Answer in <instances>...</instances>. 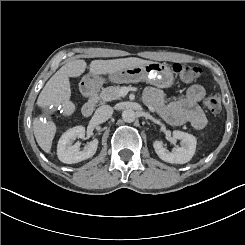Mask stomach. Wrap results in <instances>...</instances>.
<instances>
[{
  "label": "stomach",
  "mask_w": 245,
  "mask_h": 245,
  "mask_svg": "<svg viewBox=\"0 0 245 245\" xmlns=\"http://www.w3.org/2000/svg\"><path fill=\"white\" fill-rule=\"evenodd\" d=\"M113 84H129L146 81L148 84L158 87H168L172 83V73L169 67L157 62H147L141 65H133L107 74L89 72L80 82L82 91L92 92L100 88L105 82Z\"/></svg>",
  "instance_id": "obj_1"
}]
</instances>
